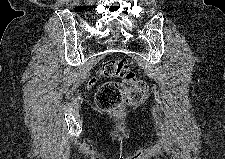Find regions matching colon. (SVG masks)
<instances>
[{
  "instance_id": "5ec220e1",
  "label": "colon",
  "mask_w": 225,
  "mask_h": 159,
  "mask_svg": "<svg viewBox=\"0 0 225 159\" xmlns=\"http://www.w3.org/2000/svg\"><path fill=\"white\" fill-rule=\"evenodd\" d=\"M104 78H120L121 81L103 83L96 92L98 108L106 113H119L126 106L141 104L148 93L145 81L136 77L135 71L123 58L105 61L100 68Z\"/></svg>"
}]
</instances>
